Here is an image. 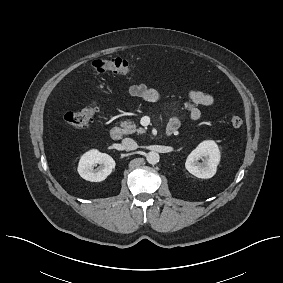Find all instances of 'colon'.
Returning a JSON list of instances; mask_svg holds the SVG:
<instances>
[{"label": "colon", "mask_w": 283, "mask_h": 283, "mask_svg": "<svg viewBox=\"0 0 283 283\" xmlns=\"http://www.w3.org/2000/svg\"><path fill=\"white\" fill-rule=\"evenodd\" d=\"M93 67L97 72L100 73L110 71L119 74H128L132 73L134 70L133 64L121 58L97 60L93 62ZM97 112V103L91 102L78 111L66 113L63 117V122L72 128H82L94 118ZM230 122L235 128H239L243 125V120L238 115L231 116Z\"/></svg>", "instance_id": "obj_1"}]
</instances>
